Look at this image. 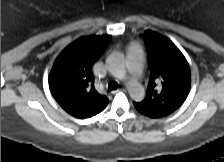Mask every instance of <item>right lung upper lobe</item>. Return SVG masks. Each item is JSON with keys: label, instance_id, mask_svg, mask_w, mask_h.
<instances>
[{"label": "right lung upper lobe", "instance_id": "cb5924a9", "mask_svg": "<svg viewBox=\"0 0 224 162\" xmlns=\"http://www.w3.org/2000/svg\"><path fill=\"white\" fill-rule=\"evenodd\" d=\"M110 40V35L81 37L69 44L53 64L49 78L51 93L76 118H90L108 104V98L94 87L92 66Z\"/></svg>", "mask_w": 224, "mask_h": 162}]
</instances>
